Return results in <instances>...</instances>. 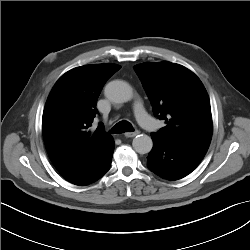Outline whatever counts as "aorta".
Here are the masks:
<instances>
[{"label": "aorta", "instance_id": "aorta-1", "mask_svg": "<svg viewBox=\"0 0 250 250\" xmlns=\"http://www.w3.org/2000/svg\"><path fill=\"white\" fill-rule=\"evenodd\" d=\"M104 94L111 102L125 103L132 99L133 90L127 82L114 80L105 86ZM132 146L137 153L147 154L151 151L153 143L149 136L141 134L133 139Z\"/></svg>", "mask_w": 250, "mask_h": 250}]
</instances>
